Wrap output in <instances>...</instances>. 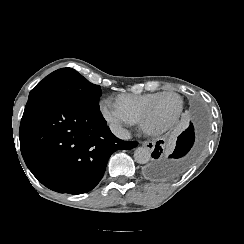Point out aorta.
<instances>
[{"label": "aorta", "instance_id": "obj_1", "mask_svg": "<svg viewBox=\"0 0 244 244\" xmlns=\"http://www.w3.org/2000/svg\"><path fill=\"white\" fill-rule=\"evenodd\" d=\"M151 158L150 150L146 147H138L134 151V159L139 164H146Z\"/></svg>", "mask_w": 244, "mask_h": 244}]
</instances>
